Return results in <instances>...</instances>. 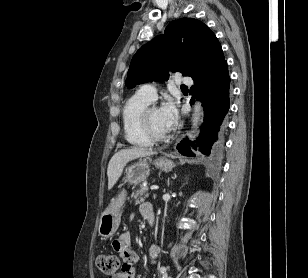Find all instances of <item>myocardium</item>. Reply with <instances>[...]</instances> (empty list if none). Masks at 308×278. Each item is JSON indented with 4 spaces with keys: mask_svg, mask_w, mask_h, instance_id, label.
Listing matches in <instances>:
<instances>
[{
    "mask_svg": "<svg viewBox=\"0 0 308 278\" xmlns=\"http://www.w3.org/2000/svg\"><path fill=\"white\" fill-rule=\"evenodd\" d=\"M155 109H158L156 105H148L142 110L140 117H139L140 126H141L144 134L152 142H162V141H165L168 138V135L167 134L159 135V134L155 133L153 131V129L150 125V121H149V115Z\"/></svg>",
    "mask_w": 308,
    "mask_h": 278,
    "instance_id": "myocardium-1",
    "label": "myocardium"
}]
</instances>
